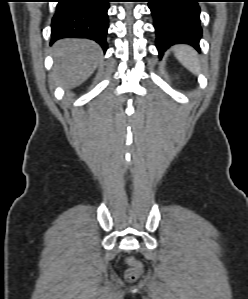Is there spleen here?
Returning a JSON list of instances; mask_svg holds the SVG:
<instances>
[{
  "label": "spleen",
  "instance_id": "obj_1",
  "mask_svg": "<svg viewBox=\"0 0 248 299\" xmlns=\"http://www.w3.org/2000/svg\"><path fill=\"white\" fill-rule=\"evenodd\" d=\"M174 54L180 63L189 71L197 74L200 69V61L197 52L188 45H177L174 47Z\"/></svg>",
  "mask_w": 248,
  "mask_h": 299
}]
</instances>
